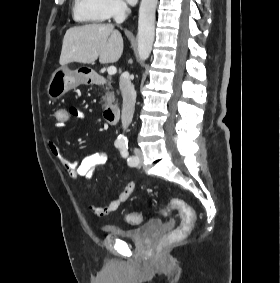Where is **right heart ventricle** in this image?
<instances>
[{
    "label": "right heart ventricle",
    "mask_w": 280,
    "mask_h": 283,
    "mask_svg": "<svg viewBox=\"0 0 280 283\" xmlns=\"http://www.w3.org/2000/svg\"><path fill=\"white\" fill-rule=\"evenodd\" d=\"M73 17L78 22L100 23L105 20L98 9V0H74Z\"/></svg>",
    "instance_id": "1"
}]
</instances>
